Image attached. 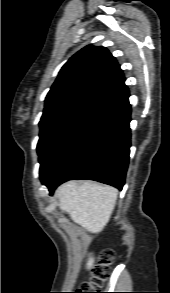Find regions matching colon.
Masks as SVG:
<instances>
[{"label":"colon","mask_w":170,"mask_h":293,"mask_svg":"<svg viewBox=\"0 0 170 293\" xmlns=\"http://www.w3.org/2000/svg\"><path fill=\"white\" fill-rule=\"evenodd\" d=\"M115 259L113 250H105L91 269L90 279L83 282L73 293H97L108 278L110 266Z\"/></svg>","instance_id":"obj_1"}]
</instances>
